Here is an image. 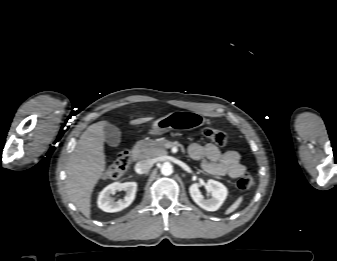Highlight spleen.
<instances>
[{"label":"spleen","mask_w":337,"mask_h":261,"mask_svg":"<svg viewBox=\"0 0 337 261\" xmlns=\"http://www.w3.org/2000/svg\"><path fill=\"white\" fill-rule=\"evenodd\" d=\"M242 201H243V197L241 196L226 210V214H230L233 211H235L240 206Z\"/></svg>","instance_id":"3e777b00"}]
</instances>
